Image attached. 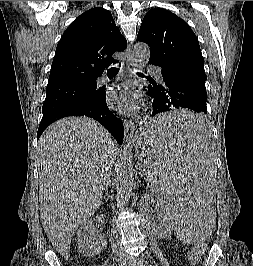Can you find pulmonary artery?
<instances>
[{
	"label": "pulmonary artery",
	"mask_w": 253,
	"mask_h": 266,
	"mask_svg": "<svg viewBox=\"0 0 253 266\" xmlns=\"http://www.w3.org/2000/svg\"><path fill=\"white\" fill-rule=\"evenodd\" d=\"M152 71V73L154 74V76L156 77V79L160 82V83H163L164 80H163V76H162V73H161V68L159 67H153L150 69ZM109 80L106 76H102L98 79V83L99 84H105L107 83Z\"/></svg>",
	"instance_id": "e3ab8cb5"
}]
</instances>
